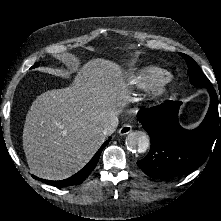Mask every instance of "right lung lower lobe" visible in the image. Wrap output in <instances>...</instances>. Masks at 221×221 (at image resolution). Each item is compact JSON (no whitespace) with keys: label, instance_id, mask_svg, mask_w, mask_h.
Listing matches in <instances>:
<instances>
[{"label":"right lung lower lobe","instance_id":"obj_1","mask_svg":"<svg viewBox=\"0 0 221 221\" xmlns=\"http://www.w3.org/2000/svg\"><path fill=\"white\" fill-rule=\"evenodd\" d=\"M109 143V140L104 142V144L100 147V149L96 152V154L93 156V158L76 174L73 176L60 180V181H49V180H43L41 178H37L34 176L35 179H38L46 184L56 186V187H68L73 185H79L81 184L94 170V168L97 165V162L99 160L100 154L104 147Z\"/></svg>","mask_w":221,"mask_h":221}]
</instances>
